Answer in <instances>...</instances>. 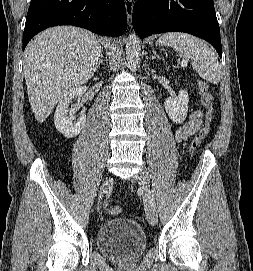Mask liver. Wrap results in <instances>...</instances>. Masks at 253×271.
<instances>
[{
    "label": "liver",
    "mask_w": 253,
    "mask_h": 271,
    "mask_svg": "<svg viewBox=\"0 0 253 271\" xmlns=\"http://www.w3.org/2000/svg\"><path fill=\"white\" fill-rule=\"evenodd\" d=\"M103 49L91 32L56 26L39 33L24 52L31 109L42 123L71 89L90 80Z\"/></svg>",
    "instance_id": "liver-1"
}]
</instances>
